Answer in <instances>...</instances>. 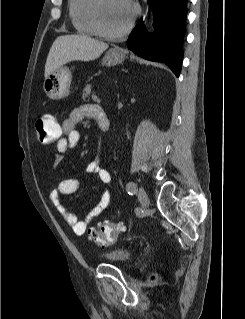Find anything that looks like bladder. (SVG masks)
Returning <instances> with one entry per match:
<instances>
[{
	"label": "bladder",
	"mask_w": 245,
	"mask_h": 319,
	"mask_svg": "<svg viewBox=\"0 0 245 319\" xmlns=\"http://www.w3.org/2000/svg\"><path fill=\"white\" fill-rule=\"evenodd\" d=\"M102 258L114 263H127L130 255L128 250L122 247H116L102 254Z\"/></svg>",
	"instance_id": "31cf9c89"
}]
</instances>
